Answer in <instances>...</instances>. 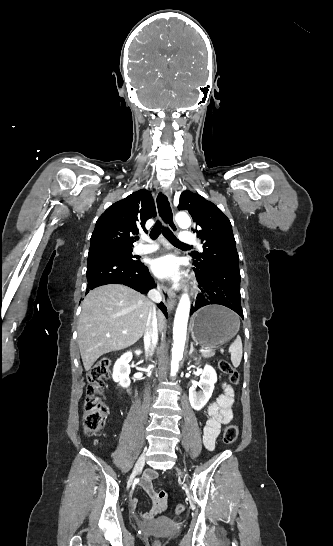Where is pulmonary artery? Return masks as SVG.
Wrapping results in <instances>:
<instances>
[{"instance_id":"obj_1","label":"pulmonary artery","mask_w":333,"mask_h":546,"mask_svg":"<svg viewBox=\"0 0 333 546\" xmlns=\"http://www.w3.org/2000/svg\"><path fill=\"white\" fill-rule=\"evenodd\" d=\"M179 239H180V242L184 244L197 243L196 236L189 231H182L179 235ZM157 249H158V246L156 244H154L153 242H149L148 244H144V243L138 244L134 248V251L137 254H149V253L155 252Z\"/></svg>"}]
</instances>
